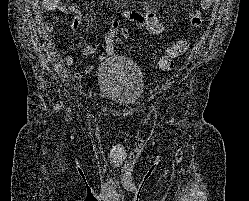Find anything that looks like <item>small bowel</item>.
Listing matches in <instances>:
<instances>
[{"instance_id": "small-bowel-1", "label": "small bowel", "mask_w": 249, "mask_h": 201, "mask_svg": "<svg viewBox=\"0 0 249 201\" xmlns=\"http://www.w3.org/2000/svg\"><path fill=\"white\" fill-rule=\"evenodd\" d=\"M46 8L50 10H58L66 14H77L79 12L77 5L65 4L62 0H43ZM214 0H200V9L193 10L189 13V25L191 27H198L202 21V12L210 9ZM127 22H131L138 27L145 28L152 35H159L165 30V23L161 20L156 8L151 6H145L142 12L125 10L121 13L120 17L114 19L111 22L110 29L104 36L105 45L104 52L99 55V60L103 61L107 56L112 55L115 50V41L117 38H127L130 34V30L126 25ZM81 22L79 19H75L71 26L74 30L78 29ZM44 28L47 32H53L55 26L53 23L46 22ZM98 45L96 43H89L85 45L81 50V55L85 58L93 56L98 52ZM171 49L167 47L165 54ZM64 64L66 67H72L75 64V59L72 55L64 56ZM94 69V66L87 65L84 68L85 74H90ZM79 76V75H77Z\"/></svg>"}]
</instances>
